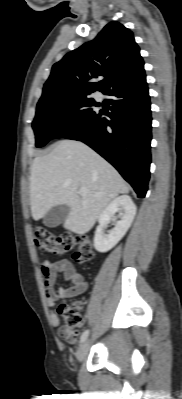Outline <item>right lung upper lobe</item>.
I'll return each instance as SVG.
<instances>
[{
	"instance_id": "cb5924a9",
	"label": "right lung upper lobe",
	"mask_w": 182,
	"mask_h": 399,
	"mask_svg": "<svg viewBox=\"0 0 182 399\" xmlns=\"http://www.w3.org/2000/svg\"><path fill=\"white\" fill-rule=\"evenodd\" d=\"M144 62L133 33L118 22L107 24L97 37L53 65L39 101L52 97L106 92L113 85L144 75ZM105 76V83L91 82Z\"/></svg>"
}]
</instances>
